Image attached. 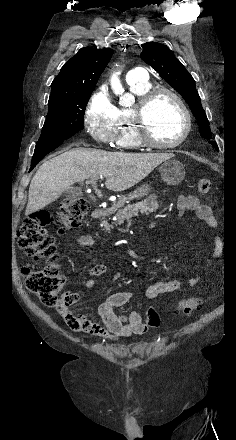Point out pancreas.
I'll use <instances>...</instances> for the list:
<instances>
[{
    "mask_svg": "<svg viewBox=\"0 0 236 440\" xmlns=\"http://www.w3.org/2000/svg\"><path fill=\"white\" fill-rule=\"evenodd\" d=\"M158 207L159 204L157 202V196L152 194L147 199L141 202L128 205L124 209L119 210L116 213V221L113 224L121 225L124 223V221L137 216L139 212L141 214H148L156 211ZM104 228L106 231L109 232L112 226L109 225L108 223H104Z\"/></svg>",
    "mask_w": 236,
    "mask_h": 440,
    "instance_id": "pancreas-1",
    "label": "pancreas"
}]
</instances>
